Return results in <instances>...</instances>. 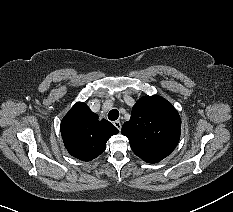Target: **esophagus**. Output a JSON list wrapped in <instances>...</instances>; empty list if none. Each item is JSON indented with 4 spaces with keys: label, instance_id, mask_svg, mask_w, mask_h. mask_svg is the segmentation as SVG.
Here are the masks:
<instances>
[{
    "label": "esophagus",
    "instance_id": "34e87169",
    "mask_svg": "<svg viewBox=\"0 0 233 212\" xmlns=\"http://www.w3.org/2000/svg\"><path fill=\"white\" fill-rule=\"evenodd\" d=\"M114 126L120 131L121 130V122L120 121H114L113 122Z\"/></svg>",
    "mask_w": 233,
    "mask_h": 212
}]
</instances>
